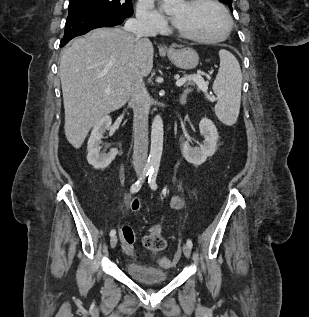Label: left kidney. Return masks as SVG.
Masks as SVG:
<instances>
[{
	"label": "left kidney",
	"instance_id": "1",
	"mask_svg": "<svg viewBox=\"0 0 309 317\" xmlns=\"http://www.w3.org/2000/svg\"><path fill=\"white\" fill-rule=\"evenodd\" d=\"M200 134L204 137L200 147H192L188 141L182 145V153L187 162L199 166L203 164L207 157L212 156L216 151L218 132L214 123L203 118L199 123Z\"/></svg>",
	"mask_w": 309,
	"mask_h": 317
}]
</instances>
